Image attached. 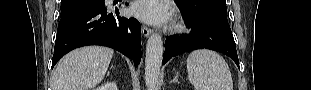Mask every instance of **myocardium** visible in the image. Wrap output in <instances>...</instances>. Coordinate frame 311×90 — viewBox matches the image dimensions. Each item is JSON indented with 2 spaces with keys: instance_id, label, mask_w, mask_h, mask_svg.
Here are the masks:
<instances>
[{
  "instance_id": "myocardium-1",
  "label": "myocardium",
  "mask_w": 311,
  "mask_h": 90,
  "mask_svg": "<svg viewBox=\"0 0 311 90\" xmlns=\"http://www.w3.org/2000/svg\"><path fill=\"white\" fill-rule=\"evenodd\" d=\"M182 28V24L180 22H175L174 29L180 30Z\"/></svg>"
}]
</instances>
